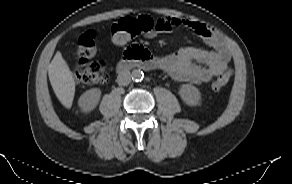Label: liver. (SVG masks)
<instances>
[{
    "instance_id": "obj_1",
    "label": "liver",
    "mask_w": 292,
    "mask_h": 184,
    "mask_svg": "<svg viewBox=\"0 0 292 184\" xmlns=\"http://www.w3.org/2000/svg\"><path fill=\"white\" fill-rule=\"evenodd\" d=\"M48 76L59 101L64 107L71 108L75 94V81L60 52H57L51 61Z\"/></svg>"
}]
</instances>
